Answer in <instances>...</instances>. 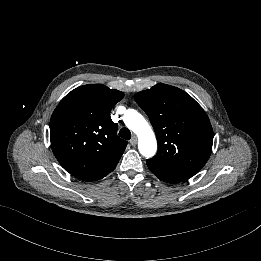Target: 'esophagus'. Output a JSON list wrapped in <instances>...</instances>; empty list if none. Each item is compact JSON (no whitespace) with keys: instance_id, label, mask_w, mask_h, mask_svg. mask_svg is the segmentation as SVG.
<instances>
[{"instance_id":"obj_1","label":"esophagus","mask_w":261,"mask_h":261,"mask_svg":"<svg viewBox=\"0 0 261 261\" xmlns=\"http://www.w3.org/2000/svg\"><path fill=\"white\" fill-rule=\"evenodd\" d=\"M138 142H139L138 138L135 137V138L132 139L131 144H132L133 146H135V145L138 144Z\"/></svg>"}]
</instances>
